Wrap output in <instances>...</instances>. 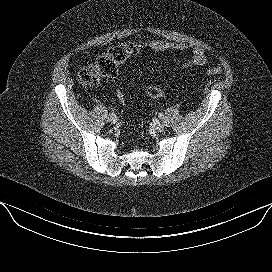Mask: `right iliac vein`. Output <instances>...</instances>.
<instances>
[{
  "label": "right iliac vein",
  "mask_w": 272,
  "mask_h": 272,
  "mask_svg": "<svg viewBox=\"0 0 272 272\" xmlns=\"http://www.w3.org/2000/svg\"><path fill=\"white\" fill-rule=\"evenodd\" d=\"M109 121L113 124H115L117 122V118L116 117H110Z\"/></svg>",
  "instance_id": "63e3f726"
}]
</instances>
